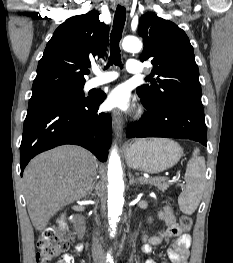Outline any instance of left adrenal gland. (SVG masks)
<instances>
[{
  "label": "left adrenal gland",
  "mask_w": 233,
  "mask_h": 263,
  "mask_svg": "<svg viewBox=\"0 0 233 263\" xmlns=\"http://www.w3.org/2000/svg\"><path fill=\"white\" fill-rule=\"evenodd\" d=\"M129 184L130 185H134V184H143V181L142 180H139V179H134L131 174H129Z\"/></svg>",
  "instance_id": "a2214340"
}]
</instances>
